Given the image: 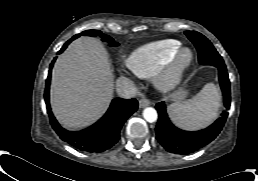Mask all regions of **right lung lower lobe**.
<instances>
[{"label": "right lung lower lobe", "instance_id": "obj_1", "mask_svg": "<svg viewBox=\"0 0 258 181\" xmlns=\"http://www.w3.org/2000/svg\"><path fill=\"white\" fill-rule=\"evenodd\" d=\"M70 40L63 45L58 54L66 49L71 42ZM55 60L56 58H54L49 68L44 94L52 127L63 141L80 151L101 153L110 149L119 140V133L124 122L137 110V100L134 98H115L106 114L94 125L78 132L67 131L56 121L49 104L50 78Z\"/></svg>", "mask_w": 258, "mask_h": 181}]
</instances>
